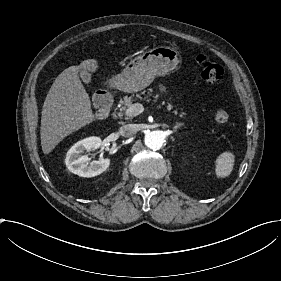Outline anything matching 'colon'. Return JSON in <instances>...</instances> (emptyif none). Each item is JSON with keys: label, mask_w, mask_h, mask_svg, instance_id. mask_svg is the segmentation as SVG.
I'll list each match as a JSON object with an SVG mask.
<instances>
[{"label": "colon", "mask_w": 281, "mask_h": 281, "mask_svg": "<svg viewBox=\"0 0 281 281\" xmlns=\"http://www.w3.org/2000/svg\"><path fill=\"white\" fill-rule=\"evenodd\" d=\"M197 66L204 82L212 87L218 88L225 83L224 70L205 55L197 57ZM229 112L225 108H218L214 112V121L218 127H226L229 123Z\"/></svg>", "instance_id": "colon-1"}]
</instances>
